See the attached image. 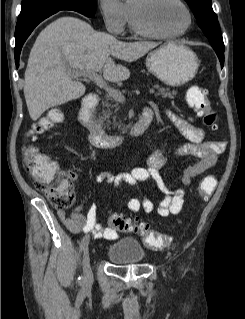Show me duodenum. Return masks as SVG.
<instances>
[{"label": "duodenum", "mask_w": 245, "mask_h": 319, "mask_svg": "<svg viewBox=\"0 0 245 319\" xmlns=\"http://www.w3.org/2000/svg\"><path fill=\"white\" fill-rule=\"evenodd\" d=\"M98 105V96L91 93L85 96L79 110V121L89 131L90 143L98 148L110 149L118 146L124 139L123 135L107 134L95 120L93 111ZM152 116L143 113L129 130L130 136H140L149 127Z\"/></svg>", "instance_id": "obj_1"}]
</instances>
